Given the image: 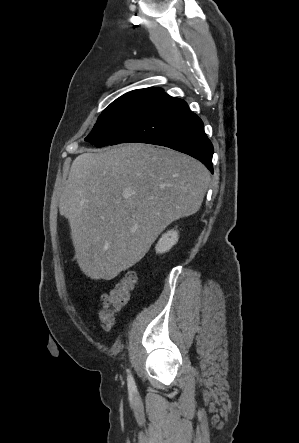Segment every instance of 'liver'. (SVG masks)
<instances>
[{
	"instance_id": "6515ba94",
	"label": "liver",
	"mask_w": 299,
	"mask_h": 443,
	"mask_svg": "<svg viewBox=\"0 0 299 443\" xmlns=\"http://www.w3.org/2000/svg\"><path fill=\"white\" fill-rule=\"evenodd\" d=\"M210 173L186 154L131 143L83 153L60 196L75 259L91 279H112L139 262L173 221L201 207Z\"/></svg>"
}]
</instances>
